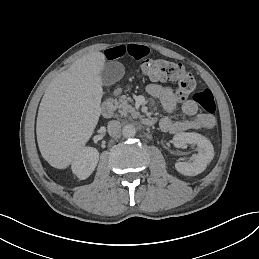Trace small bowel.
I'll use <instances>...</instances> for the list:
<instances>
[{
	"label": "small bowel",
	"instance_id": "small-bowel-1",
	"mask_svg": "<svg viewBox=\"0 0 259 259\" xmlns=\"http://www.w3.org/2000/svg\"><path fill=\"white\" fill-rule=\"evenodd\" d=\"M149 54V48L140 44H121L110 47L104 51V56L109 61L124 57L140 60ZM149 94L157 98L163 108L173 113L177 110L178 103L182 100L169 86L152 83L147 88ZM179 113L185 117L183 120H173L170 117L159 119V127L166 133L176 134L193 130H208L215 126V117L208 113H199L197 103L193 99L184 100Z\"/></svg>",
	"mask_w": 259,
	"mask_h": 259
}]
</instances>
